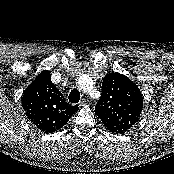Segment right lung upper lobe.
Listing matches in <instances>:
<instances>
[{
	"label": "right lung upper lobe",
	"instance_id": "obj_1",
	"mask_svg": "<svg viewBox=\"0 0 174 174\" xmlns=\"http://www.w3.org/2000/svg\"><path fill=\"white\" fill-rule=\"evenodd\" d=\"M50 77V71H42L26 88L21 101L28 119L44 133L61 129L79 109L65 102Z\"/></svg>",
	"mask_w": 174,
	"mask_h": 174
}]
</instances>
